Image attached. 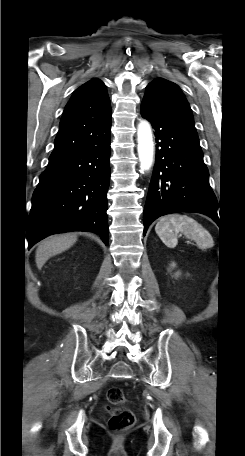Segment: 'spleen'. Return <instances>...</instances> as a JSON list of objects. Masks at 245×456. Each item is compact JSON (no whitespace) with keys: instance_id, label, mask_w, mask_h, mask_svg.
Listing matches in <instances>:
<instances>
[{"instance_id":"1","label":"spleen","mask_w":245,"mask_h":456,"mask_svg":"<svg viewBox=\"0 0 245 456\" xmlns=\"http://www.w3.org/2000/svg\"><path fill=\"white\" fill-rule=\"evenodd\" d=\"M155 231L163 243L170 248H174L177 245L178 233H182L188 239L194 240L201 248L213 245L210 233L187 215L174 214L162 217L157 222Z\"/></svg>"}]
</instances>
